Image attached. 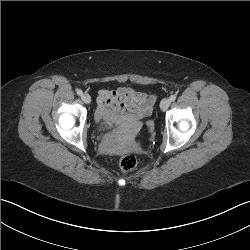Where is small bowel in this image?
<instances>
[{
	"instance_id": "obj_1",
	"label": "small bowel",
	"mask_w": 250,
	"mask_h": 250,
	"mask_svg": "<svg viewBox=\"0 0 250 250\" xmlns=\"http://www.w3.org/2000/svg\"><path fill=\"white\" fill-rule=\"evenodd\" d=\"M97 121H114L124 117L137 119L148 116L155 102L153 95L128 87L98 91Z\"/></svg>"
}]
</instances>
